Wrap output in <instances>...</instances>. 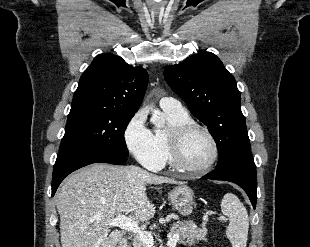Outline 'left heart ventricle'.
Here are the masks:
<instances>
[{
  "label": "left heart ventricle",
  "instance_id": "obj_1",
  "mask_svg": "<svg viewBox=\"0 0 310 247\" xmlns=\"http://www.w3.org/2000/svg\"><path fill=\"white\" fill-rule=\"evenodd\" d=\"M212 154V145L203 132L194 131L185 139L183 155L188 166L199 168L210 161Z\"/></svg>",
  "mask_w": 310,
  "mask_h": 247
}]
</instances>
